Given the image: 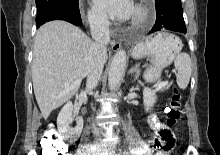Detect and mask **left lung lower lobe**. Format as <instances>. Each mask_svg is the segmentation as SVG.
Returning a JSON list of instances; mask_svg holds the SVG:
<instances>
[{"label":"left lung lower lobe","instance_id":"0a47b994","mask_svg":"<svg viewBox=\"0 0 220 155\" xmlns=\"http://www.w3.org/2000/svg\"><path fill=\"white\" fill-rule=\"evenodd\" d=\"M156 22L150 33L168 29L186 32L181 0H155Z\"/></svg>","mask_w":220,"mask_h":155}]
</instances>
